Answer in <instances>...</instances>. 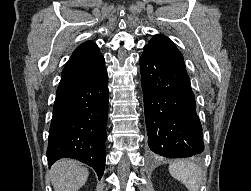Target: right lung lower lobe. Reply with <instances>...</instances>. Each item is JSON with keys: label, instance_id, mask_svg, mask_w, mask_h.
<instances>
[{"label": "right lung lower lobe", "instance_id": "98d812e1", "mask_svg": "<svg viewBox=\"0 0 251 191\" xmlns=\"http://www.w3.org/2000/svg\"><path fill=\"white\" fill-rule=\"evenodd\" d=\"M108 75L56 94L49 131V166L73 158L93 167L99 179L105 168Z\"/></svg>", "mask_w": 251, "mask_h": 191}]
</instances>
